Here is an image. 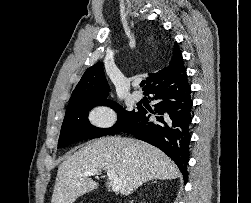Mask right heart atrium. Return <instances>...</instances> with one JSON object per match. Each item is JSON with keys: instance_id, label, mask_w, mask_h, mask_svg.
Listing matches in <instances>:
<instances>
[{"instance_id": "1", "label": "right heart atrium", "mask_w": 251, "mask_h": 203, "mask_svg": "<svg viewBox=\"0 0 251 203\" xmlns=\"http://www.w3.org/2000/svg\"><path fill=\"white\" fill-rule=\"evenodd\" d=\"M89 118L95 127L106 129L110 128L114 124L116 114L111 107L101 105L91 111Z\"/></svg>"}]
</instances>
